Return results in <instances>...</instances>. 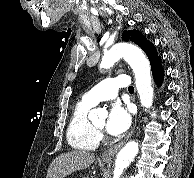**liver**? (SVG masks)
Instances as JSON below:
<instances>
[{
	"mask_svg": "<svg viewBox=\"0 0 194 178\" xmlns=\"http://www.w3.org/2000/svg\"><path fill=\"white\" fill-rule=\"evenodd\" d=\"M95 155L87 151H69L60 154L50 164L46 178H64L67 175L89 167Z\"/></svg>",
	"mask_w": 194,
	"mask_h": 178,
	"instance_id": "1",
	"label": "liver"
}]
</instances>
